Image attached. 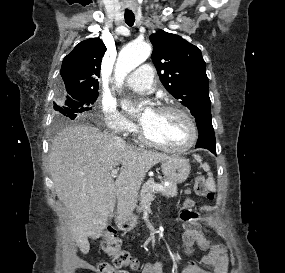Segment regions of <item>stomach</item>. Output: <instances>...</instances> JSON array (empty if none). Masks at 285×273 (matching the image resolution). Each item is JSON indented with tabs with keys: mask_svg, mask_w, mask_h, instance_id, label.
<instances>
[{
	"mask_svg": "<svg viewBox=\"0 0 285 273\" xmlns=\"http://www.w3.org/2000/svg\"><path fill=\"white\" fill-rule=\"evenodd\" d=\"M161 167L166 179L173 183L184 182L190 174L189 161L179 156L162 161Z\"/></svg>",
	"mask_w": 285,
	"mask_h": 273,
	"instance_id": "obj_1",
	"label": "stomach"
}]
</instances>
